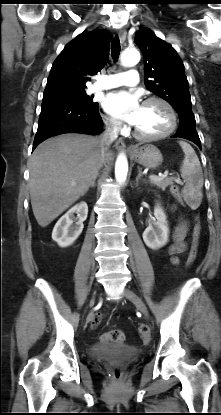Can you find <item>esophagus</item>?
<instances>
[{"label": "esophagus", "instance_id": "34e87169", "mask_svg": "<svg viewBox=\"0 0 221 415\" xmlns=\"http://www.w3.org/2000/svg\"><path fill=\"white\" fill-rule=\"evenodd\" d=\"M119 38L121 40V42L123 43L126 39V30L125 29H120L118 32ZM115 147L118 150H125L126 149V144L124 143V141L122 139H118L115 142Z\"/></svg>", "mask_w": 221, "mask_h": 415}]
</instances>
